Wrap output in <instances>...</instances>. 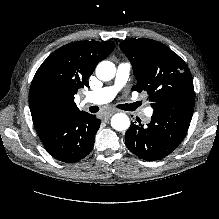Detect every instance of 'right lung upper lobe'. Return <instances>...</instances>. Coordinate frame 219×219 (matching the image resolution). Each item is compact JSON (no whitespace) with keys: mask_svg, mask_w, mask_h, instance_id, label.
<instances>
[{"mask_svg":"<svg viewBox=\"0 0 219 219\" xmlns=\"http://www.w3.org/2000/svg\"><path fill=\"white\" fill-rule=\"evenodd\" d=\"M114 49L111 41H77L53 52L39 67L29 92L33 121L70 115L80 110L74 103L79 88L89 87L96 65Z\"/></svg>","mask_w":219,"mask_h":219,"instance_id":"obj_1","label":"right lung upper lobe"}]
</instances>
